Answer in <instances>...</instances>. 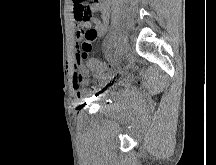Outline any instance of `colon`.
Listing matches in <instances>:
<instances>
[{
    "instance_id": "colon-1",
    "label": "colon",
    "mask_w": 216,
    "mask_h": 165,
    "mask_svg": "<svg viewBox=\"0 0 216 165\" xmlns=\"http://www.w3.org/2000/svg\"><path fill=\"white\" fill-rule=\"evenodd\" d=\"M84 1V0H83ZM85 4V2H84ZM83 19H88L91 16V13H81ZM96 36L94 29L84 31V39L81 43L80 48L77 52V60L85 62L88 68L96 73L106 74L111 70V66L91 57V43L90 41Z\"/></svg>"
}]
</instances>
